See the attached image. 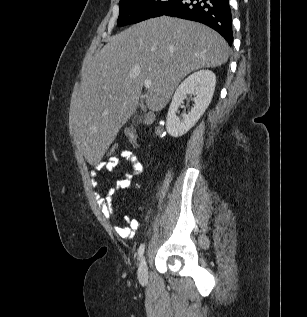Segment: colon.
Masks as SVG:
<instances>
[{
    "label": "colon",
    "mask_w": 307,
    "mask_h": 317,
    "mask_svg": "<svg viewBox=\"0 0 307 317\" xmlns=\"http://www.w3.org/2000/svg\"><path fill=\"white\" fill-rule=\"evenodd\" d=\"M165 122L162 119H157L154 122L147 124V132L152 137H161L164 135L165 129ZM125 134L128 138L129 143L132 147L137 146L138 136L136 130L132 126H128L125 129ZM123 150L120 144H111L106 151V157L108 159H112L118 157Z\"/></svg>",
    "instance_id": "5ec220e1"
}]
</instances>
